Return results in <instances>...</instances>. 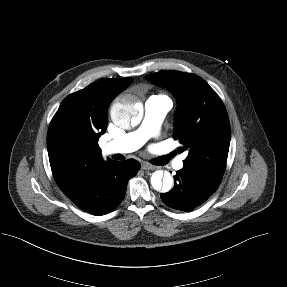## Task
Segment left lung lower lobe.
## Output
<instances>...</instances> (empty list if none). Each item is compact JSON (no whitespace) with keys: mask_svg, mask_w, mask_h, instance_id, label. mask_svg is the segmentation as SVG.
<instances>
[{"mask_svg":"<svg viewBox=\"0 0 287 287\" xmlns=\"http://www.w3.org/2000/svg\"><path fill=\"white\" fill-rule=\"evenodd\" d=\"M174 180L173 189L161 193L160 197L167 206L187 212L206 201L218 187L198 169L185 164L177 171Z\"/></svg>","mask_w":287,"mask_h":287,"instance_id":"1","label":"left lung lower lobe"}]
</instances>
